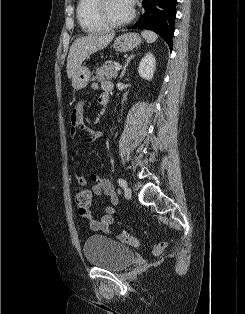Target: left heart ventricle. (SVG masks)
<instances>
[{"label":"left heart ventricle","instance_id":"b2bd125f","mask_svg":"<svg viewBox=\"0 0 245 314\" xmlns=\"http://www.w3.org/2000/svg\"><path fill=\"white\" fill-rule=\"evenodd\" d=\"M106 16L114 22L125 20L132 12V7L125 0H106Z\"/></svg>","mask_w":245,"mask_h":314}]
</instances>
